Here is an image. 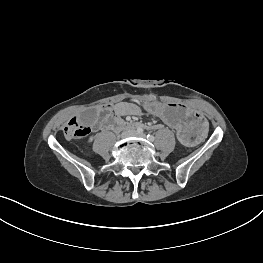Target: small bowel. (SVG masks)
I'll list each match as a JSON object with an SVG mask.
<instances>
[{
	"mask_svg": "<svg viewBox=\"0 0 263 263\" xmlns=\"http://www.w3.org/2000/svg\"><path fill=\"white\" fill-rule=\"evenodd\" d=\"M113 110L116 116L138 115L141 113L140 109L136 105L126 102H120L114 105ZM153 128L158 129L160 128V125H154Z\"/></svg>",
	"mask_w": 263,
	"mask_h": 263,
	"instance_id": "c3829d8e",
	"label": "small bowel"
}]
</instances>
